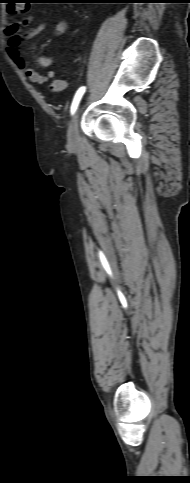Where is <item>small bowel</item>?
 <instances>
[{
    "mask_svg": "<svg viewBox=\"0 0 190 483\" xmlns=\"http://www.w3.org/2000/svg\"><path fill=\"white\" fill-rule=\"evenodd\" d=\"M32 18H26L22 21H17L9 24L5 28V35L8 37L6 42V52L8 57L12 60L15 66L22 70L24 74L35 83H45L51 81L50 90L53 92L63 91L67 85L68 81L65 78H54L55 74L53 71H48L45 74H40L37 69L28 66L26 59L22 56L19 46H20V32L27 27L31 22ZM47 28L45 23H40L37 26L29 29L25 36L29 39L35 38L41 33H43ZM67 29V24L64 21L57 20L52 24V30L55 35H62ZM53 59L46 56H38L35 58V63L41 67H49L53 64Z\"/></svg>",
    "mask_w": 190,
    "mask_h": 483,
    "instance_id": "c3829d8e",
    "label": "small bowel"
}]
</instances>
